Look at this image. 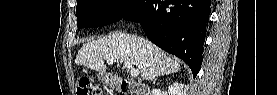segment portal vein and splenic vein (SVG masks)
I'll return each instance as SVG.
<instances>
[{
    "label": "portal vein and splenic vein",
    "instance_id": "obj_1",
    "mask_svg": "<svg viewBox=\"0 0 277 95\" xmlns=\"http://www.w3.org/2000/svg\"><path fill=\"white\" fill-rule=\"evenodd\" d=\"M113 62H115V60H113V59L107 60L108 64H113ZM124 66L130 71V75L132 77H137L139 75L138 69L134 68L130 62L124 61Z\"/></svg>",
    "mask_w": 277,
    "mask_h": 95
}]
</instances>
